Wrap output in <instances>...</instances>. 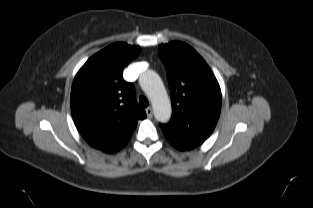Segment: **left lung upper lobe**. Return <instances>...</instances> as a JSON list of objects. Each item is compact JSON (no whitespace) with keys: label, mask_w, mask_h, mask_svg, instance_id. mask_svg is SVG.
Returning <instances> with one entry per match:
<instances>
[{"label":"left lung upper lobe","mask_w":313,"mask_h":208,"mask_svg":"<svg viewBox=\"0 0 313 208\" xmlns=\"http://www.w3.org/2000/svg\"><path fill=\"white\" fill-rule=\"evenodd\" d=\"M171 89L172 118L160 124L166 138L201 145L213 132L221 110V90L204 59L174 41L158 48Z\"/></svg>","instance_id":"left-lung-upper-lobe-1"}]
</instances>
